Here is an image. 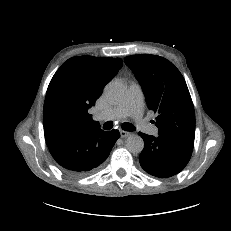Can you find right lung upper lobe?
<instances>
[{
  "instance_id": "obj_1",
  "label": "right lung upper lobe",
  "mask_w": 231,
  "mask_h": 231,
  "mask_svg": "<svg viewBox=\"0 0 231 231\" xmlns=\"http://www.w3.org/2000/svg\"><path fill=\"white\" fill-rule=\"evenodd\" d=\"M122 65L120 58L94 56H77L64 62L47 89L43 110L45 138L99 128L88 110Z\"/></svg>"
}]
</instances>
